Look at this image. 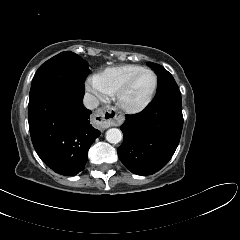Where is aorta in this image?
Instances as JSON below:
<instances>
[{
	"mask_svg": "<svg viewBox=\"0 0 240 240\" xmlns=\"http://www.w3.org/2000/svg\"><path fill=\"white\" fill-rule=\"evenodd\" d=\"M106 140L109 143L117 144L122 140V132L117 128H111L106 132Z\"/></svg>",
	"mask_w": 240,
	"mask_h": 240,
	"instance_id": "762f6f07",
	"label": "aorta"
}]
</instances>
